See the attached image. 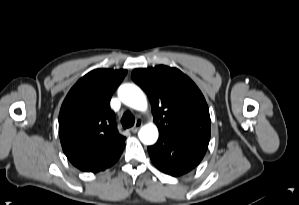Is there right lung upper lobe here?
<instances>
[{
  "mask_svg": "<svg viewBox=\"0 0 299 205\" xmlns=\"http://www.w3.org/2000/svg\"><path fill=\"white\" fill-rule=\"evenodd\" d=\"M124 69H96L69 91L59 114V136L70 162L85 172H99L120 157L125 137L119 134L110 99L126 75Z\"/></svg>",
  "mask_w": 299,
  "mask_h": 205,
  "instance_id": "1",
  "label": "right lung upper lobe"
}]
</instances>
